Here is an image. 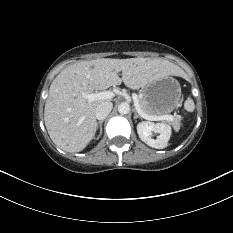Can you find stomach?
<instances>
[{"label":"stomach","mask_w":233,"mask_h":233,"mask_svg":"<svg viewBox=\"0 0 233 233\" xmlns=\"http://www.w3.org/2000/svg\"><path fill=\"white\" fill-rule=\"evenodd\" d=\"M143 93L149 109L164 115L171 113L179 103L181 87L176 79L167 76L144 87Z\"/></svg>","instance_id":"obj_1"}]
</instances>
